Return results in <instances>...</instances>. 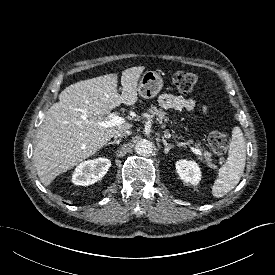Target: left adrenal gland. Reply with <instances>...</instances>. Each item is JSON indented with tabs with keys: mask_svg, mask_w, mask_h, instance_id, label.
<instances>
[{
	"mask_svg": "<svg viewBox=\"0 0 275 275\" xmlns=\"http://www.w3.org/2000/svg\"><path fill=\"white\" fill-rule=\"evenodd\" d=\"M162 142H163V144L165 146L164 152H165V154H168V152L170 151V149L172 148V146L167 143V141L164 139V137H162Z\"/></svg>",
	"mask_w": 275,
	"mask_h": 275,
	"instance_id": "obj_1",
	"label": "left adrenal gland"
}]
</instances>
